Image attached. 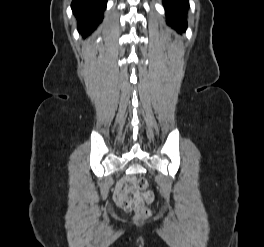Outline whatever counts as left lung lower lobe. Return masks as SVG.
<instances>
[{
	"label": "left lung lower lobe",
	"instance_id": "0a47b994",
	"mask_svg": "<svg viewBox=\"0 0 264 247\" xmlns=\"http://www.w3.org/2000/svg\"><path fill=\"white\" fill-rule=\"evenodd\" d=\"M166 10L167 25H170L177 32L182 33L186 29V14L188 11L187 0H163Z\"/></svg>",
	"mask_w": 264,
	"mask_h": 247
}]
</instances>
